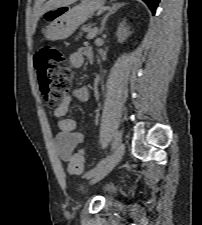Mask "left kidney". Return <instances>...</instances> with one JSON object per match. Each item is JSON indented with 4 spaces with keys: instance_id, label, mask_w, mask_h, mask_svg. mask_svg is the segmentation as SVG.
Masks as SVG:
<instances>
[{
    "instance_id": "obj_1",
    "label": "left kidney",
    "mask_w": 202,
    "mask_h": 225,
    "mask_svg": "<svg viewBox=\"0 0 202 225\" xmlns=\"http://www.w3.org/2000/svg\"><path fill=\"white\" fill-rule=\"evenodd\" d=\"M130 27L126 25V21L124 20L118 27L117 30V37H118V42L122 43L124 42L128 36L131 34L129 31Z\"/></svg>"
}]
</instances>
